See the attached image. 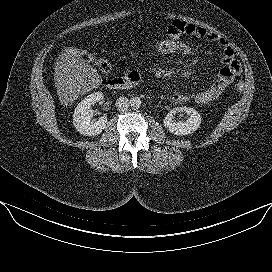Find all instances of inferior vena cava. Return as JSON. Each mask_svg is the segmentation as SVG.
<instances>
[{
	"label": "inferior vena cava",
	"mask_w": 272,
	"mask_h": 272,
	"mask_svg": "<svg viewBox=\"0 0 272 272\" xmlns=\"http://www.w3.org/2000/svg\"><path fill=\"white\" fill-rule=\"evenodd\" d=\"M129 99L126 97H119L116 100V108L118 111H126L129 107Z\"/></svg>",
	"instance_id": "602c4592"
}]
</instances>
